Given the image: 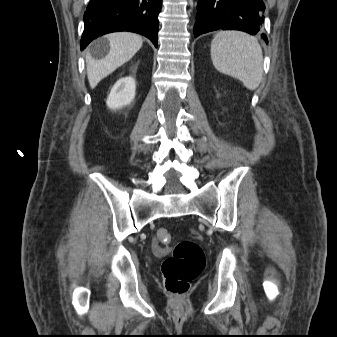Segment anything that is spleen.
Instances as JSON below:
<instances>
[{
    "label": "spleen",
    "mask_w": 337,
    "mask_h": 337,
    "mask_svg": "<svg viewBox=\"0 0 337 337\" xmlns=\"http://www.w3.org/2000/svg\"><path fill=\"white\" fill-rule=\"evenodd\" d=\"M211 59L221 73L240 80L253 91L263 74V54L258 40L240 31H220L211 42Z\"/></svg>",
    "instance_id": "spleen-1"
}]
</instances>
